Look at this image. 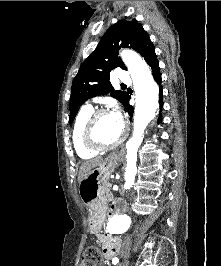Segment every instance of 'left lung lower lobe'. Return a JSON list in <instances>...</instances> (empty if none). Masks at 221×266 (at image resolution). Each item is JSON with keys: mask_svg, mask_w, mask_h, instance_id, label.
Masks as SVG:
<instances>
[{"mask_svg": "<svg viewBox=\"0 0 221 266\" xmlns=\"http://www.w3.org/2000/svg\"><path fill=\"white\" fill-rule=\"evenodd\" d=\"M152 74L154 80L157 82V84H161V73H160V68H159V62L156 61L152 66H151ZM130 97L128 96L126 99V102L124 104V107L126 108L127 112L129 113L130 117L133 116V107L129 104ZM160 105H163L162 102V88L160 86V99H159ZM158 122H161V116L158 119Z\"/></svg>", "mask_w": 221, "mask_h": 266, "instance_id": "1", "label": "left lung lower lobe"}]
</instances>
